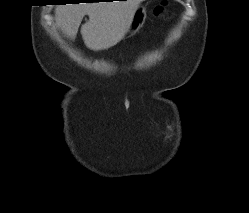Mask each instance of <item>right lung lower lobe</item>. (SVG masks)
<instances>
[{
	"label": "right lung lower lobe",
	"mask_w": 249,
	"mask_h": 213,
	"mask_svg": "<svg viewBox=\"0 0 249 213\" xmlns=\"http://www.w3.org/2000/svg\"><path fill=\"white\" fill-rule=\"evenodd\" d=\"M90 1H98V0H90ZM93 3V2H92Z\"/></svg>",
	"instance_id": "right-lung-lower-lobe-1"
}]
</instances>
